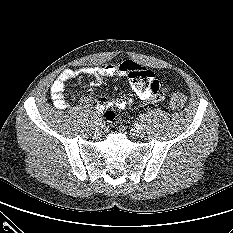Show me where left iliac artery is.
Here are the masks:
<instances>
[{"instance_id": "1", "label": "left iliac artery", "mask_w": 233, "mask_h": 233, "mask_svg": "<svg viewBox=\"0 0 233 233\" xmlns=\"http://www.w3.org/2000/svg\"><path fill=\"white\" fill-rule=\"evenodd\" d=\"M139 120H140V121H143V120H144V116H143V115H140V116H139Z\"/></svg>"}]
</instances>
